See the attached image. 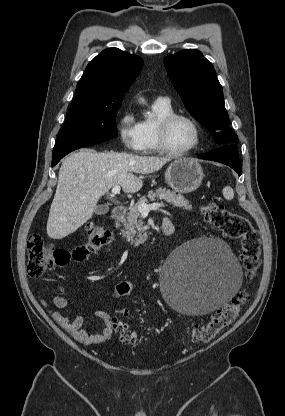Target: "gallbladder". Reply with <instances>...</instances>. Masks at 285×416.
Listing matches in <instances>:
<instances>
[{"label": "gallbladder", "instance_id": "bac80fb5", "mask_svg": "<svg viewBox=\"0 0 285 416\" xmlns=\"http://www.w3.org/2000/svg\"><path fill=\"white\" fill-rule=\"evenodd\" d=\"M108 212H109L108 204H100V206H96V210L94 214H96V216H103V214H108Z\"/></svg>", "mask_w": 285, "mask_h": 416}]
</instances>
